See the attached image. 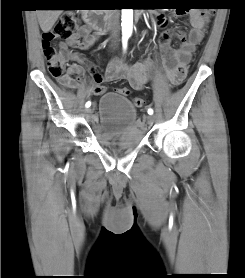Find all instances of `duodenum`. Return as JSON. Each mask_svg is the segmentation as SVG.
<instances>
[{
	"label": "duodenum",
	"mask_w": 245,
	"mask_h": 278,
	"mask_svg": "<svg viewBox=\"0 0 245 278\" xmlns=\"http://www.w3.org/2000/svg\"><path fill=\"white\" fill-rule=\"evenodd\" d=\"M142 12L140 9L135 10L136 20H140ZM83 21L87 26L94 29L98 33H106L111 30V23L108 19L97 11H86L83 15Z\"/></svg>",
	"instance_id": "1"
}]
</instances>
